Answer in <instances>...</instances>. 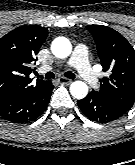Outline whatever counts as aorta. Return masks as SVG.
Masks as SVG:
<instances>
[{"label": "aorta", "instance_id": "1", "mask_svg": "<svg viewBox=\"0 0 135 165\" xmlns=\"http://www.w3.org/2000/svg\"><path fill=\"white\" fill-rule=\"evenodd\" d=\"M52 53L58 58H66L71 54L72 45L66 38L60 37L53 41ZM70 93L76 99H83L88 94V86L82 81H75L70 85Z\"/></svg>", "mask_w": 135, "mask_h": 165}]
</instances>
